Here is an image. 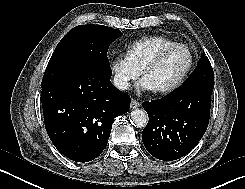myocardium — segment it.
Returning <instances> with one entry per match:
<instances>
[{
    "instance_id": "myocardium-1",
    "label": "myocardium",
    "mask_w": 245,
    "mask_h": 189,
    "mask_svg": "<svg viewBox=\"0 0 245 189\" xmlns=\"http://www.w3.org/2000/svg\"><path fill=\"white\" fill-rule=\"evenodd\" d=\"M175 48H184L188 52V54H189V63H188L187 68L185 69V71L182 73V75L174 83L170 84L167 87L161 88L159 90H155V92L160 94V95H166V94H169V93H172V92L176 91L188 79V77H189V75L192 72V69L194 67V63H195V57H194V53L192 52V50L187 45L182 44V43H172V44L166 45V46L162 47L146 63V65L143 67V69L141 71V75L144 78V76L146 75V73L148 71H150L151 69L155 68L162 61L164 56L168 52H170L171 50H173Z\"/></svg>"
}]
</instances>
